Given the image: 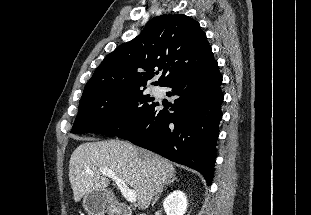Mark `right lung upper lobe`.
Returning a JSON list of instances; mask_svg holds the SVG:
<instances>
[{"instance_id": "1", "label": "right lung upper lobe", "mask_w": 311, "mask_h": 215, "mask_svg": "<svg viewBox=\"0 0 311 215\" xmlns=\"http://www.w3.org/2000/svg\"><path fill=\"white\" fill-rule=\"evenodd\" d=\"M213 61L211 46L196 20L183 14H164L150 20L139 36L105 57L80 101L143 89L157 74L156 69L163 74L152 84L165 87Z\"/></svg>"}]
</instances>
